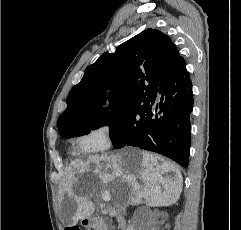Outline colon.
<instances>
[{
	"instance_id": "1",
	"label": "colon",
	"mask_w": 241,
	"mask_h": 230,
	"mask_svg": "<svg viewBox=\"0 0 241 230\" xmlns=\"http://www.w3.org/2000/svg\"><path fill=\"white\" fill-rule=\"evenodd\" d=\"M67 230H79L78 227H71V228H67Z\"/></svg>"
}]
</instances>
